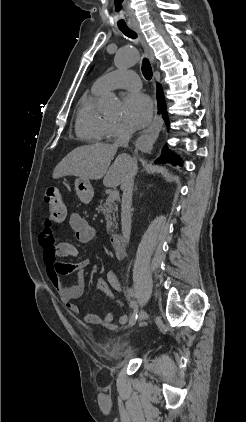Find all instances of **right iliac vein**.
I'll list each match as a JSON object with an SVG mask.
<instances>
[{
  "label": "right iliac vein",
  "instance_id": "obj_1",
  "mask_svg": "<svg viewBox=\"0 0 246 422\" xmlns=\"http://www.w3.org/2000/svg\"><path fill=\"white\" fill-rule=\"evenodd\" d=\"M147 317H148L147 312L145 310H142L140 312V314H139V319L138 320H139V322H143V321H145L147 319Z\"/></svg>",
  "mask_w": 246,
  "mask_h": 422
}]
</instances>
